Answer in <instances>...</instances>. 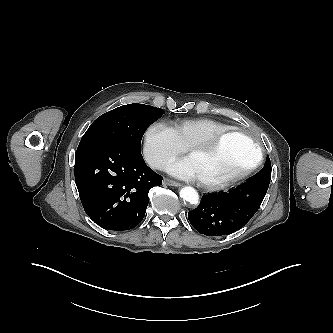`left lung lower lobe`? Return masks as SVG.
<instances>
[{"label":"left lung lower lobe","instance_id":"0a47b994","mask_svg":"<svg viewBox=\"0 0 333 333\" xmlns=\"http://www.w3.org/2000/svg\"><path fill=\"white\" fill-rule=\"evenodd\" d=\"M270 179L246 181L229 192L203 195L188 213L191 225L201 234L221 236L242 228L259 209Z\"/></svg>","mask_w":333,"mask_h":333}]
</instances>
